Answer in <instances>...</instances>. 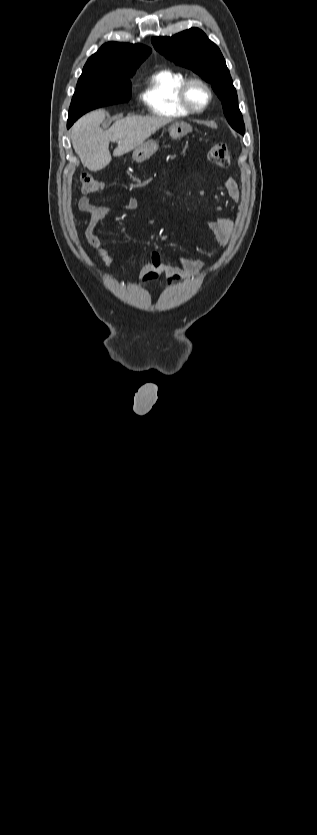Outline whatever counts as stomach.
I'll return each mask as SVG.
<instances>
[{
	"instance_id": "1",
	"label": "stomach",
	"mask_w": 317,
	"mask_h": 835,
	"mask_svg": "<svg viewBox=\"0 0 317 835\" xmlns=\"http://www.w3.org/2000/svg\"><path fill=\"white\" fill-rule=\"evenodd\" d=\"M168 130L170 132V136L172 138H182L192 132V127L185 123V122H175L172 123ZM158 150V143L150 139L146 142H143L133 153V159L136 162H143L149 159L153 154L156 153Z\"/></svg>"
}]
</instances>
